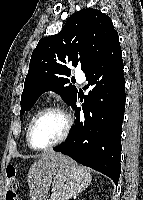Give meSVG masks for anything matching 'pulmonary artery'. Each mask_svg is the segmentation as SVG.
Masks as SVG:
<instances>
[{"mask_svg": "<svg viewBox=\"0 0 143 200\" xmlns=\"http://www.w3.org/2000/svg\"><path fill=\"white\" fill-rule=\"evenodd\" d=\"M75 78L79 83H83L85 81V74L81 70H77L75 72Z\"/></svg>", "mask_w": 143, "mask_h": 200, "instance_id": "1", "label": "pulmonary artery"}]
</instances>
